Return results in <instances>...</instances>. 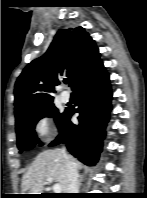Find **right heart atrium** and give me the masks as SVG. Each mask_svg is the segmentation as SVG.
Here are the masks:
<instances>
[{"label":"right heart atrium","instance_id":"1","mask_svg":"<svg viewBox=\"0 0 147 198\" xmlns=\"http://www.w3.org/2000/svg\"><path fill=\"white\" fill-rule=\"evenodd\" d=\"M34 132L39 140H50L54 134V127L51 117L48 115L39 117L35 122Z\"/></svg>","mask_w":147,"mask_h":198}]
</instances>
